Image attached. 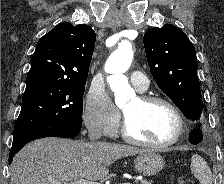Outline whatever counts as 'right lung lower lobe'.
I'll list each match as a JSON object with an SVG mask.
<instances>
[{"mask_svg": "<svg viewBox=\"0 0 224 184\" xmlns=\"http://www.w3.org/2000/svg\"><path fill=\"white\" fill-rule=\"evenodd\" d=\"M81 130L80 125L68 123H45L26 128L14 135L13 144L9 155V163L15 154L28 142L44 137H75Z\"/></svg>", "mask_w": 224, "mask_h": 184, "instance_id": "98d812e1", "label": "right lung lower lobe"}]
</instances>
